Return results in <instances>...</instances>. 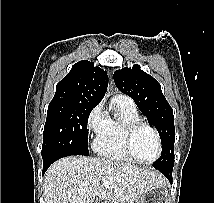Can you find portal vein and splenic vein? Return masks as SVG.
I'll return each instance as SVG.
<instances>
[{"mask_svg":"<svg viewBox=\"0 0 214 203\" xmlns=\"http://www.w3.org/2000/svg\"><path fill=\"white\" fill-rule=\"evenodd\" d=\"M110 184H111L110 181H103L102 182V185L105 186V187H108Z\"/></svg>","mask_w":214,"mask_h":203,"instance_id":"obj_1","label":"portal vein and splenic vein"}]
</instances>
